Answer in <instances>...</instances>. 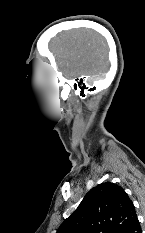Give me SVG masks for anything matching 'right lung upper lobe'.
Masks as SVG:
<instances>
[{
	"label": "right lung upper lobe",
	"mask_w": 145,
	"mask_h": 233,
	"mask_svg": "<svg viewBox=\"0 0 145 233\" xmlns=\"http://www.w3.org/2000/svg\"><path fill=\"white\" fill-rule=\"evenodd\" d=\"M137 218L122 187L104 182L92 188L57 233H127Z\"/></svg>",
	"instance_id": "right-lung-upper-lobe-1"
}]
</instances>
